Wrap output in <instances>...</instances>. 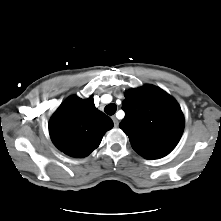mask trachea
Here are the masks:
<instances>
[{"label":"trachea","instance_id":"3493384b","mask_svg":"<svg viewBox=\"0 0 221 221\" xmlns=\"http://www.w3.org/2000/svg\"><path fill=\"white\" fill-rule=\"evenodd\" d=\"M117 110V106L114 103L108 104L105 108L104 111L108 115H113Z\"/></svg>","mask_w":221,"mask_h":221}]
</instances>
